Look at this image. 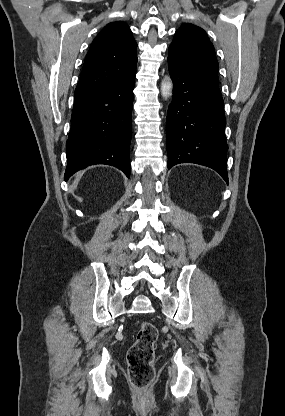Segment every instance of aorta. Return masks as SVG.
<instances>
[{"mask_svg":"<svg viewBox=\"0 0 285 416\" xmlns=\"http://www.w3.org/2000/svg\"><path fill=\"white\" fill-rule=\"evenodd\" d=\"M173 83L169 78H165L161 82V94L163 98L168 99L172 95Z\"/></svg>","mask_w":285,"mask_h":416,"instance_id":"obj_1","label":"aorta"}]
</instances>
